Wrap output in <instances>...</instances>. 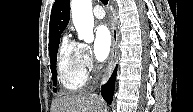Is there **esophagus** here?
<instances>
[{
	"mask_svg": "<svg viewBox=\"0 0 193 112\" xmlns=\"http://www.w3.org/2000/svg\"><path fill=\"white\" fill-rule=\"evenodd\" d=\"M109 13L111 16L112 46H111V52L108 60V65L103 78V83H105L111 76L116 64V59L118 54L119 35H118L116 20L114 17V3L112 0L109 2Z\"/></svg>",
	"mask_w": 193,
	"mask_h": 112,
	"instance_id": "1",
	"label": "esophagus"
}]
</instances>
